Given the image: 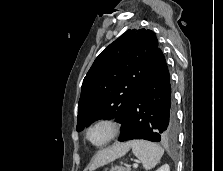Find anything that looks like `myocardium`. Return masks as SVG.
I'll return each mask as SVG.
<instances>
[{
  "label": "myocardium",
  "mask_w": 223,
  "mask_h": 171,
  "mask_svg": "<svg viewBox=\"0 0 223 171\" xmlns=\"http://www.w3.org/2000/svg\"><path fill=\"white\" fill-rule=\"evenodd\" d=\"M99 126H105L109 130V134L105 140L100 143H95L91 140L90 134L93 129ZM120 132V124L117 120L111 117H101L93 121L86 129L85 138L89 144L96 148H102L112 142Z\"/></svg>",
  "instance_id": "f54148a6"
}]
</instances>
